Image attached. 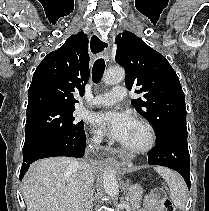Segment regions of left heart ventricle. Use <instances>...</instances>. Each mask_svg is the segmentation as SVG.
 Wrapping results in <instances>:
<instances>
[{"label":"left heart ventricle","instance_id":"b2bd125f","mask_svg":"<svg viewBox=\"0 0 209 211\" xmlns=\"http://www.w3.org/2000/svg\"><path fill=\"white\" fill-rule=\"evenodd\" d=\"M145 133L141 126L135 123L131 133L129 134L128 138L123 142L124 145L135 147L139 146L144 142Z\"/></svg>","mask_w":209,"mask_h":211}]
</instances>
